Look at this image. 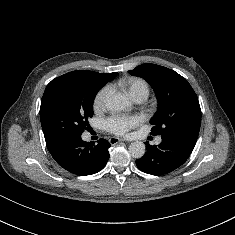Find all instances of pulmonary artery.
<instances>
[{"instance_id":"pulmonary-artery-1","label":"pulmonary artery","mask_w":235,"mask_h":235,"mask_svg":"<svg viewBox=\"0 0 235 235\" xmlns=\"http://www.w3.org/2000/svg\"><path fill=\"white\" fill-rule=\"evenodd\" d=\"M146 98H147L146 96H138V97H136L134 100H135L136 102H138V103H141V102H143ZM161 141H162L161 137H158V138L156 139V143H160Z\"/></svg>"}]
</instances>
